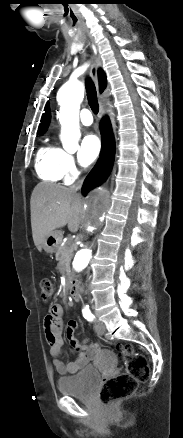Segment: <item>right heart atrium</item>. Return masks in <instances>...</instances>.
I'll return each mask as SVG.
<instances>
[{
    "instance_id": "d8ad5b80",
    "label": "right heart atrium",
    "mask_w": 183,
    "mask_h": 438,
    "mask_svg": "<svg viewBox=\"0 0 183 438\" xmlns=\"http://www.w3.org/2000/svg\"><path fill=\"white\" fill-rule=\"evenodd\" d=\"M61 168L64 176L67 178H74L78 173L77 158L73 154L62 150Z\"/></svg>"
}]
</instances>
